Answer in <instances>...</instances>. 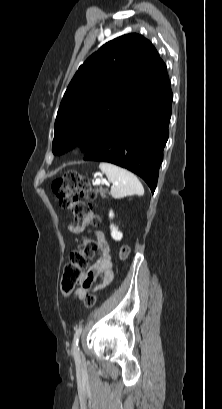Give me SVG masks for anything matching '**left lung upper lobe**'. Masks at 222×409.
<instances>
[{"label": "left lung upper lobe", "mask_w": 222, "mask_h": 409, "mask_svg": "<svg viewBox=\"0 0 222 409\" xmlns=\"http://www.w3.org/2000/svg\"><path fill=\"white\" fill-rule=\"evenodd\" d=\"M168 78L155 47L138 34L104 44L78 69L61 101L52 151L75 143L86 151L124 105L148 94Z\"/></svg>", "instance_id": "obj_1"}]
</instances>
